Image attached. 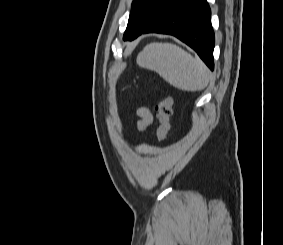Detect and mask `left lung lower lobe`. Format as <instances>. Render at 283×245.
Here are the masks:
<instances>
[{"mask_svg":"<svg viewBox=\"0 0 283 245\" xmlns=\"http://www.w3.org/2000/svg\"><path fill=\"white\" fill-rule=\"evenodd\" d=\"M150 32L177 37L193 48L211 70L214 69L215 39L206 0H174L142 33Z\"/></svg>","mask_w":283,"mask_h":245,"instance_id":"0a47b994","label":"left lung lower lobe"}]
</instances>
